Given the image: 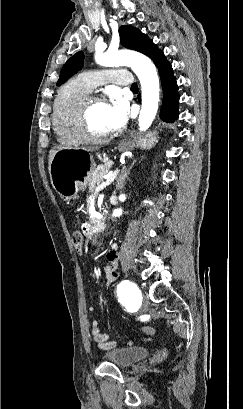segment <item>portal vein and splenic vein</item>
<instances>
[{"label":"portal vein and splenic vein","instance_id":"portal-vein-and-splenic-vein-1","mask_svg":"<svg viewBox=\"0 0 243 409\" xmlns=\"http://www.w3.org/2000/svg\"><path fill=\"white\" fill-rule=\"evenodd\" d=\"M118 173H119V170L117 169L113 173L108 174L107 179L95 188V193H98L102 189H104L106 186H109L114 181V179L117 177Z\"/></svg>","mask_w":243,"mask_h":409}]
</instances>
